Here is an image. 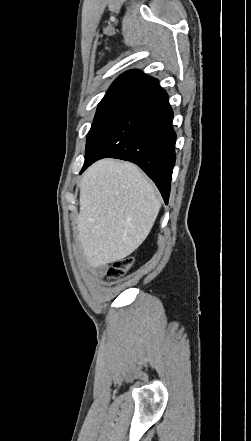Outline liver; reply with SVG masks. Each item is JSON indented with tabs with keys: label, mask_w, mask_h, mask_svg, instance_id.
Returning <instances> with one entry per match:
<instances>
[{
	"label": "liver",
	"mask_w": 251,
	"mask_h": 441,
	"mask_svg": "<svg viewBox=\"0 0 251 441\" xmlns=\"http://www.w3.org/2000/svg\"><path fill=\"white\" fill-rule=\"evenodd\" d=\"M78 238L89 266L99 267L132 254L149 235L161 202L134 164L102 159L80 182Z\"/></svg>",
	"instance_id": "6515ba94"
}]
</instances>
